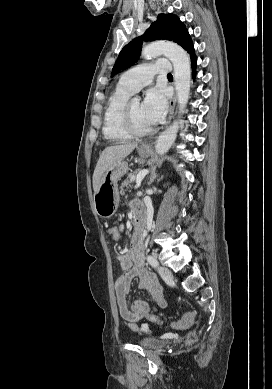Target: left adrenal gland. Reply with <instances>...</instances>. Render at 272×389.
Wrapping results in <instances>:
<instances>
[{
	"label": "left adrenal gland",
	"instance_id": "1",
	"mask_svg": "<svg viewBox=\"0 0 272 389\" xmlns=\"http://www.w3.org/2000/svg\"><path fill=\"white\" fill-rule=\"evenodd\" d=\"M158 177V174L156 173V168H153L150 175V180L148 184L150 185L156 178Z\"/></svg>",
	"mask_w": 272,
	"mask_h": 389
}]
</instances>
